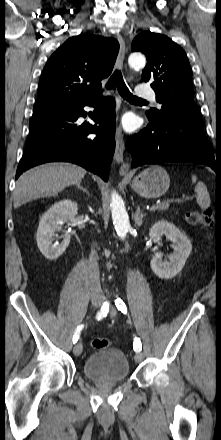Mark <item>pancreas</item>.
<instances>
[{"instance_id": "1", "label": "pancreas", "mask_w": 221, "mask_h": 440, "mask_svg": "<svg viewBox=\"0 0 221 440\" xmlns=\"http://www.w3.org/2000/svg\"><path fill=\"white\" fill-rule=\"evenodd\" d=\"M170 204H171V201H169V200H168V201H164V202L158 204L157 207H156V209H157L158 211H165V210H168Z\"/></svg>"}]
</instances>
